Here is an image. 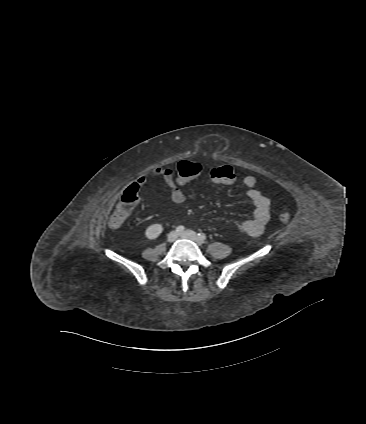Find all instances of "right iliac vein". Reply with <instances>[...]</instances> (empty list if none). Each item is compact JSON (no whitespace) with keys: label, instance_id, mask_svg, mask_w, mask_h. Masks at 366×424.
<instances>
[{"label":"right iliac vein","instance_id":"1","mask_svg":"<svg viewBox=\"0 0 366 424\" xmlns=\"http://www.w3.org/2000/svg\"><path fill=\"white\" fill-rule=\"evenodd\" d=\"M177 237H178V233L176 231H172L168 234L167 240L168 242L171 243V242H174L177 239Z\"/></svg>","mask_w":366,"mask_h":424}]
</instances>
